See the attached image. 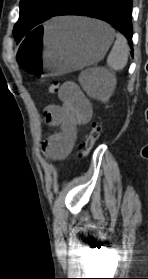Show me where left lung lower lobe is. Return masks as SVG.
Listing matches in <instances>:
<instances>
[{
  "mask_svg": "<svg viewBox=\"0 0 148 279\" xmlns=\"http://www.w3.org/2000/svg\"><path fill=\"white\" fill-rule=\"evenodd\" d=\"M81 15L106 21L119 30L132 49V0H69L54 16Z\"/></svg>",
  "mask_w": 148,
  "mask_h": 279,
  "instance_id": "left-lung-lower-lobe-1",
  "label": "left lung lower lobe"
}]
</instances>
